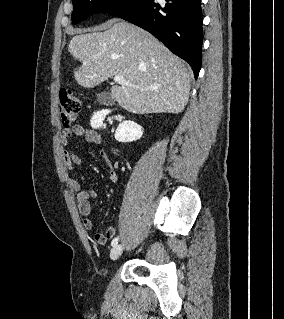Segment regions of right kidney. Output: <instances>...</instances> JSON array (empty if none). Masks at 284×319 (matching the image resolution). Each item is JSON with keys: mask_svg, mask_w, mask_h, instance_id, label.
Returning a JSON list of instances; mask_svg holds the SVG:
<instances>
[{"mask_svg": "<svg viewBox=\"0 0 284 319\" xmlns=\"http://www.w3.org/2000/svg\"><path fill=\"white\" fill-rule=\"evenodd\" d=\"M107 112L99 111L94 113L90 124L92 128H99L102 126ZM143 135L142 127L133 121H123L119 124L115 132V139L119 142H133L140 139Z\"/></svg>", "mask_w": 284, "mask_h": 319, "instance_id": "right-kidney-1", "label": "right kidney"}]
</instances>
